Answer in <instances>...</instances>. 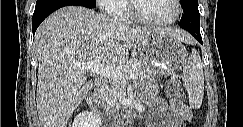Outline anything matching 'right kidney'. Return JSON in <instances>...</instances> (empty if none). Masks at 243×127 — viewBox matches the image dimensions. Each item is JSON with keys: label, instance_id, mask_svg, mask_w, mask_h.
I'll return each mask as SVG.
<instances>
[{"label": "right kidney", "instance_id": "right-kidney-1", "mask_svg": "<svg viewBox=\"0 0 243 127\" xmlns=\"http://www.w3.org/2000/svg\"><path fill=\"white\" fill-rule=\"evenodd\" d=\"M73 127H100L101 118L94 112L84 111L79 113L73 121Z\"/></svg>", "mask_w": 243, "mask_h": 127}]
</instances>
